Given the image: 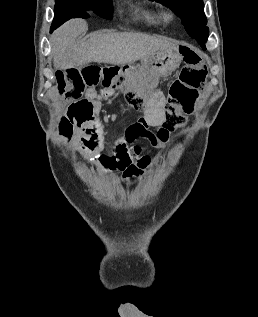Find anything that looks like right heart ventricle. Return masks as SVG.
Segmentation results:
<instances>
[{"label": "right heart ventricle", "instance_id": "obj_1", "mask_svg": "<svg viewBox=\"0 0 258 317\" xmlns=\"http://www.w3.org/2000/svg\"><path fill=\"white\" fill-rule=\"evenodd\" d=\"M135 12L149 24H156L159 20V14L152 7L137 8Z\"/></svg>", "mask_w": 258, "mask_h": 317}]
</instances>
